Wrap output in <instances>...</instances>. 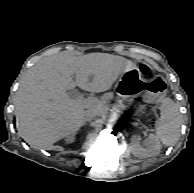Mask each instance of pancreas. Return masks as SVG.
Masks as SVG:
<instances>
[{
	"label": "pancreas",
	"instance_id": "pancreas-1",
	"mask_svg": "<svg viewBox=\"0 0 194 193\" xmlns=\"http://www.w3.org/2000/svg\"><path fill=\"white\" fill-rule=\"evenodd\" d=\"M121 108L124 111H126V112H133V111H135V112H139L140 111L141 113H145L146 112V109L143 108L142 106H139L138 103L130 102V101H129L127 106L121 107Z\"/></svg>",
	"mask_w": 194,
	"mask_h": 193
}]
</instances>
